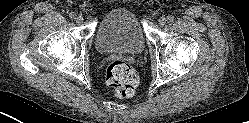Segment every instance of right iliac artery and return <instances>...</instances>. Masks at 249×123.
Listing matches in <instances>:
<instances>
[{
	"label": "right iliac artery",
	"instance_id": "82829eb1",
	"mask_svg": "<svg viewBox=\"0 0 249 123\" xmlns=\"http://www.w3.org/2000/svg\"><path fill=\"white\" fill-rule=\"evenodd\" d=\"M69 18L72 19V20L76 19V14L74 12H71L69 14Z\"/></svg>",
	"mask_w": 249,
	"mask_h": 123
}]
</instances>
